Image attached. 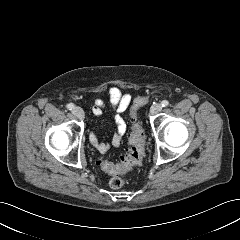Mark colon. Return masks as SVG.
Instances as JSON below:
<instances>
[{
	"instance_id": "5ec220e1",
	"label": "colon",
	"mask_w": 240,
	"mask_h": 240,
	"mask_svg": "<svg viewBox=\"0 0 240 240\" xmlns=\"http://www.w3.org/2000/svg\"><path fill=\"white\" fill-rule=\"evenodd\" d=\"M148 102L146 96L136 98L130 108V121L132 130L128 140V148L121 157L119 164L106 159L99 161L102 170L110 176L109 185L113 189H119L124 185L122 175L135 165L140 164L144 157L145 140L141 127L136 123V111Z\"/></svg>"
}]
</instances>
